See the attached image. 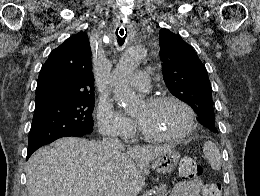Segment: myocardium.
<instances>
[{
  "label": "myocardium",
  "instance_id": "1",
  "mask_svg": "<svg viewBox=\"0 0 260 196\" xmlns=\"http://www.w3.org/2000/svg\"><path fill=\"white\" fill-rule=\"evenodd\" d=\"M176 103L182 106L189 114V124L187 128L179 134L174 135H162L149 132L143 129L138 123V129L142 137L146 140L153 141V142H181L186 140L196 129L197 127V115L193 107L184 101L182 98L175 96V95H159L149 98L146 101V104L150 107L158 106L164 103Z\"/></svg>",
  "mask_w": 260,
  "mask_h": 196
}]
</instances>
